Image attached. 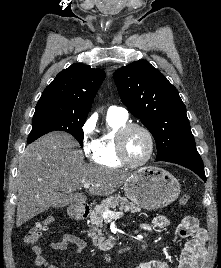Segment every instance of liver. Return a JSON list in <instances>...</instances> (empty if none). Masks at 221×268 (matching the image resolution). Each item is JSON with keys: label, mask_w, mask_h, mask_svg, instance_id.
I'll use <instances>...</instances> for the list:
<instances>
[{"label": "liver", "mask_w": 221, "mask_h": 268, "mask_svg": "<svg viewBox=\"0 0 221 268\" xmlns=\"http://www.w3.org/2000/svg\"><path fill=\"white\" fill-rule=\"evenodd\" d=\"M76 145L69 134L53 132L26 147L16 179L17 227L53 207L59 201L58 193L72 195L89 183L91 195L108 196L133 175L85 163Z\"/></svg>", "instance_id": "6515ba94"}]
</instances>
